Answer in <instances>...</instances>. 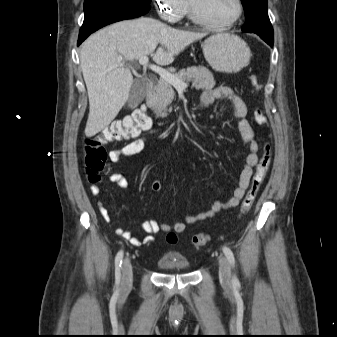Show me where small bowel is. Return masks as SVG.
Listing matches in <instances>:
<instances>
[{"instance_id": "c3829d8e", "label": "small bowel", "mask_w": 337, "mask_h": 337, "mask_svg": "<svg viewBox=\"0 0 337 337\" xmlns=\"http://www.w3.org/2000/svg\"><path fill=\"white\" fill-rule=\"evenodd\" d=\"M225 100L228 101L235 118L238 119V130L241 134L244 144L248 148V154L246 156L245 165L240 172L238 178V185L234 189L232 196L228 200H215L211 206L196 215H187L184 221H176L172 224L160 223L155 219L146 220L141 223V229L146 234V236L139 238L132 235L130 231L123 229L122 227H117L115 233L128 240L133 246H141L145 244H151L154 242L153 234L158 232H177L182 233L185 231L186 226L189 224H194L199 221L206 220L213 217L219 211L232 208L237 206L242 198L244 197L253 174V169L258 163V144L254 139V131L246 119L248 109L244 99L238 95L229 86H218L214 89L205 90L202 93L200 99V106L203 109L209 108L215 101ZM146 137L135 138L129 143L122 147L112 149L108 153V158L112 163H118L125 157H130L139 154L143 151L146 142ZM194 168V165L191 166ZM108 180L117 185L121 189H126L128 187L127 179L118 172H112L108 176ZM151 189L154 192H159L162 189V183L159 180H154L151 184ZM90 192L93 195H99L101 193V188L98 184H91ZM99 212L103 219L107 222L112 221V216L108 209L105 207L102 201L98 202Z\"/></svg>"}]
</instances>
